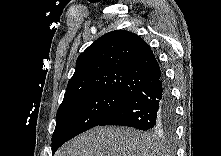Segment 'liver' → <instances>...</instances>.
I'll use <instances>...</instances> for the list:
<instances>
[{
	"instance_id": "liver-1",
	"label": "liver",
	"mask_w": 221,
	"mask_h": 156,
	"mask_svg": "<svg viewBox=\"0 0 221 156\" xmlns=\"http://www.w3.org/2000/svg\"><path fill=\"white\" fill-rule=\"evenodd\" d=\"M156 135L128 127H96L62 146L55 156H162Z\"/></svg>"
}]
</instances>
